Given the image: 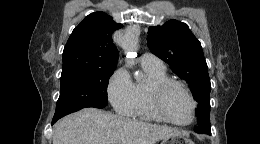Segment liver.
I'll return each mask as SVG.
<instances>
[{
    "label": "liver",
    "instance_id": "liver-1",
    "mask_svg": "<svg viewBox=\"0 0 260 144\" xmlns=\"http://www.w3.org/2000/svg\"><path fill=\"white\" fill-rule=\"evenodd\" d=\"M178 134L170 127L85 108L55 124L53 144H155Z\"/></svg>",
    "mask_w": 260,
    "mask_h": 144
}]
</instances>
